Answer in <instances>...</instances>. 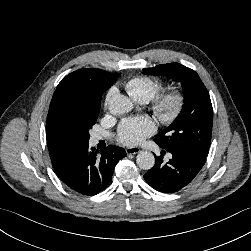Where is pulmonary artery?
Returning <instances> with one entry per match:
<instances>
[{
	"label": "pulmonary artery",
	"instance_id": "e3ab8cb5",
	"mask_svg": "<svg viewBox=\"0 0 251 251\" xmlns=\"http://www.w3.org/2000/svg\"><path fill=\"white\" fill-rule=\"evenodd\" d=\"M102 137L100 135H94L93 136V141L98 142Z\"/></svg>",
	"mask_w": 251,
	"mask_h": 251
}]
</instances>
